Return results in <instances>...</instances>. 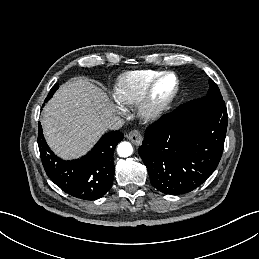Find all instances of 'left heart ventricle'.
<instances>
[{
  "label": "left heart ventricle",
  "instance_id": "b2bd125f",
  "mask_svg": "<svg viewBox=\"0 0 259 259\" xmlns=\"http://www.w3.org/2000/svg\"><path fill=\"white\" fill-rule=\"evenodd\" d=\"M175 79L172 76L164 78L158 83L154 91V101H161L166 98L173 90Z\"/></svg>",
  "mask_w": 259,
  "mask_h": 259
}]
</instances>
